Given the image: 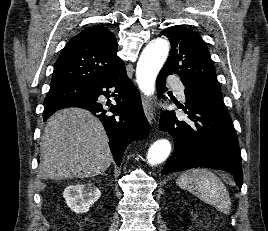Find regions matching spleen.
Returning a JSON list of instances; mask_svg holds the SVG:
<instances>
[{
  "label": "spleen",
  "mask_w": 268,
  "mask_h": 231,
  "mask_svg": "<svg viewBox=\"0 0 268 231\" xmlns=\"http://www.w3.org/2000/svg\"><path fill=\"white\" fill-rule=\"evenodd\" d=\"M176 183L204 202L215 206L219 211L229 214L231 209L229 192L211 171L203 168L187 170L181 174Z\"/></svg>",
  "instance_id": "1"
}]
</instances>
